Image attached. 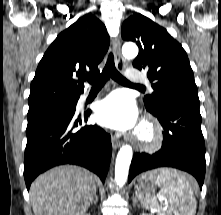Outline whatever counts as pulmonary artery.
<instances>
[{
    "label": "pulmonary artery",
    "mask_w": 221,
    "mask_h": 215,
    "mask_svg": "<svg viewBox=\"0 0 221 215\" xmlns=\"http://www.w3.org/2000/svg\"><path fill=\"white\" fill-rule=\"evenodd\" d=\"M127 77L133 83H147L146 78L141 73L136 71L135 69L128 70ZM87 97H88V93H84L80 97V102L81 103L84 102Z\"/></svg>",
    "instance_id": "obj_1"
}]
</instances>
